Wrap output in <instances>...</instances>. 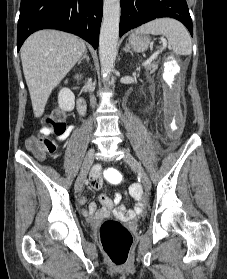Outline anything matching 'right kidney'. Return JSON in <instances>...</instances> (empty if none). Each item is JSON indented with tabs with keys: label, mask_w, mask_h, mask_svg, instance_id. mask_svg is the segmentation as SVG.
Returning a JSON list of instances; mask_svg holds the SVG:
<instances>
[{
	"label": "right kidney",
	"mask_w": 227,
	"mask_h": 279,
	"mask_svg": "<svg viewBox=\"0 0 227 279\" xmlns=\"http://www.w3.org/2000/svg\"><path fill=\"white\" fill-rule=\"evenodd\" d=\"M79 76L77 75L76 78ZM67 82V81H66ZM75 96L73 92L68 88H63L58 94L59 107L65 111H72L75 106Z\"/></svg>",
	"instance_id": "right-kidney-1"
}]
</instances>
